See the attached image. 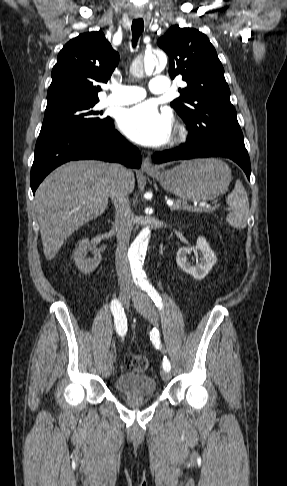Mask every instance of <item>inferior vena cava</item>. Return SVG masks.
<instances>
[{
  "label": "inferior vena cava",
  "mask_w": 287,
  "mask_h": 486,
  "mask_svg": "<svg viewBox=\"0 0 287 486\" xmlns=\"http://www.w3.org/2000/svg\"><path fill=\"white\" fill-rule=\"evenodd\" d=\"M129 172L118 164L112 166L109 196L115 206V227L117 229V249L115 253L116 271L121 289L134 290L128 263L127 250L134 225V214L129 205L126 181Z\"/></svg>",
  "instance_id": "obj_1"
}]
</instances>
